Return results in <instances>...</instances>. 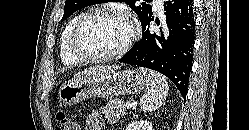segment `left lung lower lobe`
Wrapping results in <instances>:
<instances>
[{"mask_svg": "<svg viewBox=\"0 0 249 130\" xmlns=\"http://www.w3.org/2000/svg\"><path fill=\"white\" fill-rule=\"evenodd\" d=\"M166 22L156 20L159 31L148 25L152 13L142 24V39L125 54L120 62L156 70L168 77L186 97L193 59L195 39L194 7L191 0L164 2Z\"/></svg>", "mask_w": 249, "mask_h": 130, "instance_id": "left-lung-lower-lobe-1", "label": "left lung lower lobe"}]
</instances>
